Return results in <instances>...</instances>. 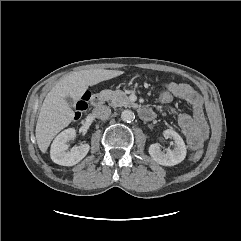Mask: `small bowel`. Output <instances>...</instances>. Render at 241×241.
I'll use <instances>...</instances> for the list:
<instances>
[{"instance_id":"c3829d8e","label":"small bowel","mask_w":241,"mask_h":241,"mask_svg":"<svg viewBox=\"0 0 241 241\" xmlns=\"http://www.w3.org/2000/svg\"><path fill=\"white\" fill-rule=\"evenodd\" d=\"M165 87L174 98L185 101L191 107V114L183 113L178 117V125L186 137L190 149H199L208 134L204 106L200 95L189 84L168 82Z\"/></svg>"}]
</instances>
